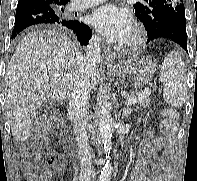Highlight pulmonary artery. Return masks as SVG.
Masks as SVG:
<instances>
[{
	"label": "pulmonary artery",
	"mask_w": 197,
	"mask_h": 181,
	"mask_svg": "<svg viewBox=\"0 0 197 181\" xmlns=\"http://www.w3.org/2000/svg\"><path fill=\"white\" fill-rule=\"evenodd\" d=\"M105 0H78L74 6V10L84 9L93 5H97L99 3L104 2Z\"/></svg>",
	"instance_id": "1"
}]
</instances>
